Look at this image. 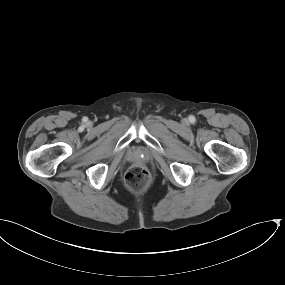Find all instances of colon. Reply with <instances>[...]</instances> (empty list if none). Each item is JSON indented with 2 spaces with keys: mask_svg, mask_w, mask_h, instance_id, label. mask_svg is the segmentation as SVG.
Segmentation results:
<instances>
[{
  "mask_svg": "<svg viewBox=\"0 0 285 285\" xmlns=\"http://www.w3.org/2000/svg\"><path fill=\"white\" fill-rule=\"evenodd\" d=\"M124 181L129 190L139 192L149 185L150 175L143 166L135 165L126 172Z\"/></svg>",
  "mask_w": 285,
  "mask_h": 285,
  "instance_id": "obj_1",
  "label": "colon"
}]
</instances>
